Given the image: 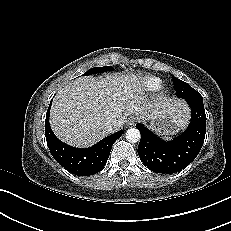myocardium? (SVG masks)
<instances>
[{
    "label": "myocardium",
    "instance_id": "obj_1",
    "mask_svg": "<svg viewBox=\"0 0 231 231\" xmlns=\"http://www.w3.org/2000/svg\"><path fill=\"white\" fill-rule=\"evenodd\" d=\"M169 97H170L169 91L166 90V89H164V90H162V91L158 94L157 100H158L159 102H166V101L169 100Z\"/></svg>",
    "mask_w": 231,
    "mask_h": 231
}]
</instances>
